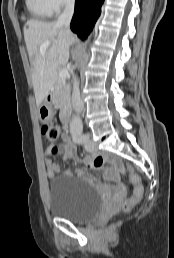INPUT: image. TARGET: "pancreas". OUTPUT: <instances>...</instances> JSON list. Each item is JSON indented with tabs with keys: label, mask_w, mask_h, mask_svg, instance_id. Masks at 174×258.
<instances>
[{
	"label": "pancreas",
	"mask_w": 174,
	"mask_h": 258,
	"mask_svg": "<svg viewBox=\"0 0 174 258\" xmlns=\"http://www.w3.org/2000/svg\"><path fill=\"white\" fill-rule=\"evenodd\" d=\"M53 104L60 108H66L70 102V88L65 80L61 79L59 75L56 77L54 91H53Z\"/></svg>",
	"instance_id": "1"
}]
</instances>
